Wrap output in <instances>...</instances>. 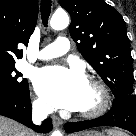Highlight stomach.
<instances>
[{"mask_svg":"<svg viewBox=\"0 0 136 136\" xmlns=\"http://www.w3.org/2000/svg\"><path fill=\"white\" fill-rule=\"evenodd\" d=\"M81 136H104V135L97 131H88L83 133Z\"/></svg>","mask_w":136,"mask_h":136,"instance_id":"stomach-1","label":"stomach"}]
</instances>
